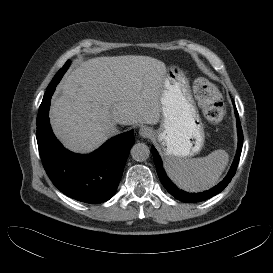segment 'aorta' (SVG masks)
I'll list each match as a JSON object with an SVG mask.
<instances>
[{
    "label": "aorta",
    "instance_id": "762f6f07",
    "mask_svg": "<svg viewBox=\"0 0 273 273\" xmlns=\"http://www.w3.org/2000/svg\"><path fill=\"white\" fill-rule=\"evenodd\" d=\"M131 156L136 161H144L148 159L150 155L149 147L144 143L134 144L131 148Z\"/></svg>",
    "mask_w": 273,
    "mask_h": 273
}]
</instances>
